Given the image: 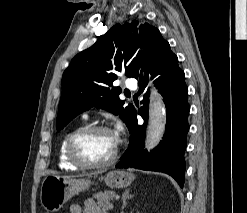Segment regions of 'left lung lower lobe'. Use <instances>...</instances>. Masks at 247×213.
Returning <instances> with one entry per match:
<instances>
[{"instance_id": "1", "label": "left lung lower lobe", "mask_w": 247, "mask_h": 213, "mask_svg": "<svg viewBox=\"0 0 247 213\" xmlns=\"http://www.w3.org/2000/svg\"><path fill=\"white\" fill-rule=\"evenodd\" d=\"M151 79H155L160 94L166 105L167 124L163 140L150 153L144 150L145 130L148 122L149 90L144 93L147 82L140 81V94L144 99V106L138 114L144 119V124L137 123L135 110L128 124L130 141L117 168H137L149 171L164 172L171 175L180 185L184 183L186 136L189 130L188 114L190 106L187 102L188 88L184 81V72L178 66V58L171 54L167 59L159 62L150 69Z\"/></svg>"}]
</instances>
